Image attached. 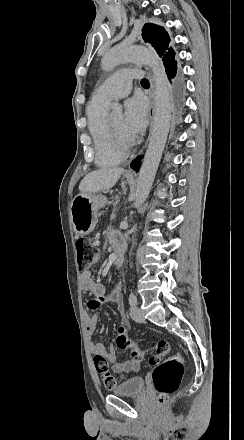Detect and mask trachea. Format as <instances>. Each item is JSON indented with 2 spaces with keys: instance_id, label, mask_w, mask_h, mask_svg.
I'll use <instances>...</instances> for the list:
<instances>
[{
  "instance_id": "1",
  "label": "trachea",
  "mask_w": 244,
  "mask_h": 440,
  "mask_svg": "<svg viewBox=\"0 0 244 440\" xmlns=\"http://www.w3.org/2000/svg\"><path fill=\"white\" fill-rule=\"evenodd\" d=\"M147 84H149V81L147 80V78H143L141 80V85H147Z\"/></svg>"
}]
</instances>
